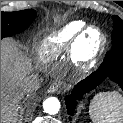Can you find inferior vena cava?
I'll return each instance as SVG.
<instances>
[{"label": "inferior vena cava", "mask_w": 123, "mask_h": 123, "mask_svg": "<svg viewBox=\"0 0 123 123\" xmlns=\"http://www.w3.org/2000/svg\"><path fill=\"white\" fill-rule=\"evenodd\" d=\"M21 89L24 93H33L40 87V81L36 75L25 77L20 83Z\"/></svg>", "instance_id": "obj_1"}]
</instances>
